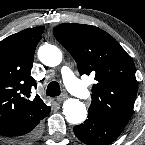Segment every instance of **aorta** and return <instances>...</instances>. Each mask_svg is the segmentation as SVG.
<instances>
[{
    "instance_id": "obj_1",
    "label": "aorta",
    "mask_w": 145,
    "mask_h": 145,
    "mask_svg": "<svg viewBox=\"0 0 145 145\" xmlns=\"http://www.w3.org/2000/svg\"><path fill=\"white\" fill-rule=\"evenodd\" d=\"M38 58L46 66L54 67L61 63L62 52L51 44H45L38 49ZM63 113L67 122L78 125L87 117L85 105L75 98H69L63 103Z\"/></svg>"
}]
</instances>
